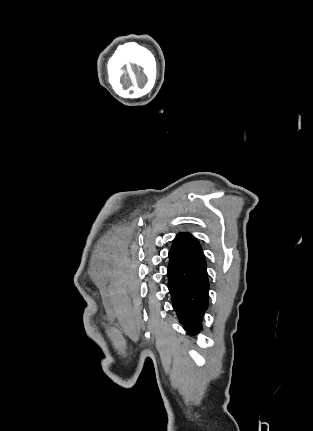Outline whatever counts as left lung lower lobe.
I'll list each match as a JSON object with an SVG mask.
<instances>
[{
    "label": "left lung lower lobe",
    "instance_id": "left-lung-lower-lobe-1",
    "mask_svg": "<svg viewBox=\"0 0 313 431\" xmlns=\"http://www.w3.org/2000/svg\"><path fill=\"white\" fill-rule=\"evenodd\" d=\"M168 289L173 308L187 333L197 335L208 308L209 281L206 262L198 240L180 233L169 251Z\"/></svg>",
    "mask_w": 313,
    "mask_h": 431
}]
</instances>
